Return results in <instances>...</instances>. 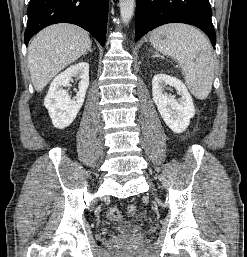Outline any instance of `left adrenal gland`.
I'll return each instance as SVG.
<instances>
[{
    "instance_id": "left-adrenal-gland-1",
    "label": "left adrenal gland",
    "mask_w": 247,
    "mask_h": 257,
    "mask_svg": "<svg viewBox=\"0 0 247 257\" xmlns=\"http://www.w3.org/2000/svg\"><path fill=\"white\" fill-rule=\"evenodd\" d=\"M153 57H160L157 52H155Z\"/></svg>"
}]
</instances>
